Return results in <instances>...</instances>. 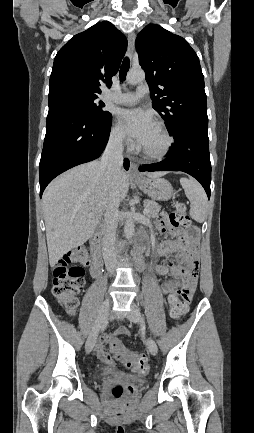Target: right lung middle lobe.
Wrapping results in <instances>:
<instances>
[{"mask_svg":"<svg viewBox=\"0 0 254 433\" xmlns=\"http://www.w3.org/2000/svg\"><path fill=\"white\" fill-rule=\"evenodd\" d=\"M55 105H64L69 107H74L82 110L89 116L101 119L108 116H111V114L108 111L102 110V108L105 106L102 102L99 104L96 103V99H67L60 101L56 103Z\"/></svg>","mask_w":254,"mask_h":433,"instance_id":"1","label":"right lung middle lobe"}]
</instances>
